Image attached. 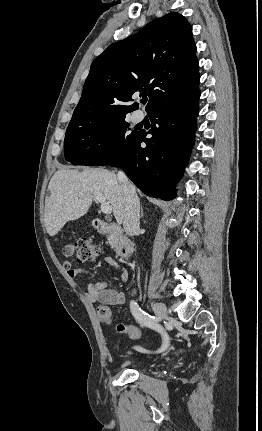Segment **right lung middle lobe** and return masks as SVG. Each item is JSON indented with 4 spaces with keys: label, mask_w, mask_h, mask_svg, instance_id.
Masks as SVG:
<instances>
[{
    "label": "right lung middle lobe",
    "mask_w": 262,
    "mask_h": 431,
    "mask_svg": "<svg viewBox=\"0 0 262 431\" xmlns=\"http://www.w3.org/2000/svg\"><path fill=\"white\" fill-rule=\"evenodd\" d=\"M128 128L125 116L70 123L64 140L65 159L73 165L110 164L138 133H130Z\"/></svg>",
    "instance_id": "dd1d6c3e"
}]
</instances>
